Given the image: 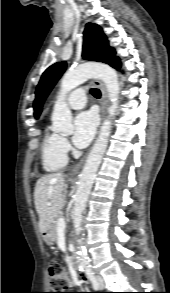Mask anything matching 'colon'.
<instances>
[{
    "label": "colon",
    "mask_w": 170,
    "mask_h": 293,
    "mask_svg": "<svg viewBox=\"0 0 170 293\" xmlns=\"http://www.w3.org/2000/svg\"><path fill=\"white\" fill-rule=\"evenodd\" d=\"M48 273L50 284L54 291L51 293H63L61 291L66 289L70 283L67 269L58 262H51L48 267Z\"/></svg>",
    "instance_id": "colon-1"
}]
</instances>
